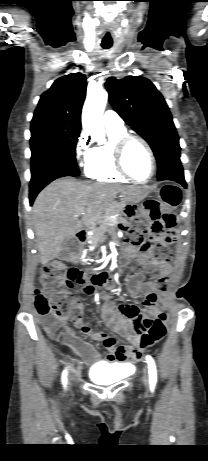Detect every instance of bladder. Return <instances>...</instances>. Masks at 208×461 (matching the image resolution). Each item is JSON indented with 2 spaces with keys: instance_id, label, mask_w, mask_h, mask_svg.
Segmentation results:
<instances>
[{
  "instance_id": "1",
  "label": "bladder",
  "mask_w": 208,
  "mask_h": 461,
  "mask_svg": "<svg viewBox=\"0 0 208 461\" xmlns=\"http://www.w3.org/2000/svg\"><path fill=\"white\" fill-rule=\"evenodd\" d=\"M125 377L122 365L99 362L89 370V378L97 384L116 383Z\"/></svg>"
}]
</instances>
